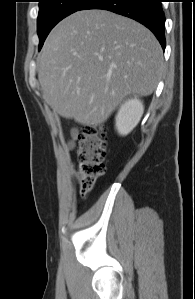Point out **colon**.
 Returning a JSON list of instances; mask_svg holds the SVG:
<instances>
[{
	"label": "colon",
	"mask_w": 195,
	"mask_h": 299,
	"mask_svg": "<svg viewBox=\"0 0 195 299\" xmlns=\"http://www.w3.org/2000/svg\"><path fill=\"white\" fill-rule=\"evenodd\" d=\"M77 178L82 195L92 190L96 180L106 170L107 143L102 129L97 126H86L79 133L76 145Z\"/></svg>",
	"instance_id": "colon-1"
}]
</instances>
